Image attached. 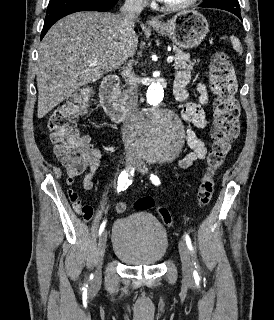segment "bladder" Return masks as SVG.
Returning <instances> with one entry per match:
<instances>
[{
  "label": "bladder",
  "mask_w": 274,
  "mask_h": 320,
  "mask_svg": "<svg viewBox=\"0 0 274 320\" xmlns=\"http://www.w3.org/2000/svg\"><path fill=\"white\" fill-rule=\"evenodd\" d=\"M168 247L165 227L150 214L133 212L118 218L113 224V253L128 265H156L164 259Z\"/></svg>",
  "instance_id": "1"
}]
</instances>
